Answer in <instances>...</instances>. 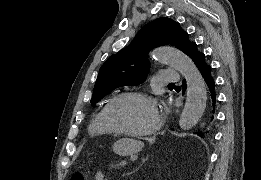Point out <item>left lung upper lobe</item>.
Returning a JSON list of instances; mask_svg holds the SVG:
<instances>
[{
  "instance_id": "1",
  "label": "left lung upper lobe",
  "mask_w": 261,
  "mask_h": 180,
  "mask_svg": "<svg viewBox=\"0 0 261 180\" xmlns=\"http://www.w3.org/2000/svg\"><path fill=\"white\" fill-rule=\"evenodd\" d=\"M196 43L179 23L163 17L146 24L134 40L110 56L100 68L91 99L95 104L114 89L142 83L149 72L148 52L158 46L172 45L189 55Z\"/></svg>"
}]
</instances>
